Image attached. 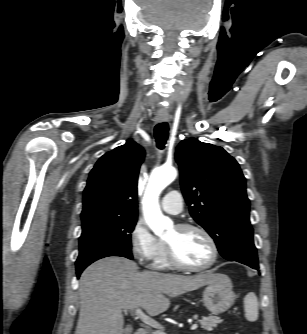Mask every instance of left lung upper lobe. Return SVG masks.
<instances>
[{"instance_id": "obj_1", "label": "left lung upper lobe", "mask_w": 307, "mask_h": 334, "mask_svg": "<svg viewBox=\"0 0 307 334\" xmlns=\"http://www.w3.org/2000/svg\"><path fill=\"white\" fill-rule=\"evenodd\" d=\"M181 187L190 214L215 240L220 254L237 256L254 246L246 179L237 161L223 148L185 139L176 149Z\"/></svg>"}]
</instances>
